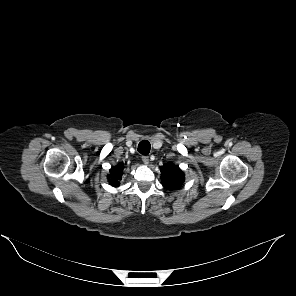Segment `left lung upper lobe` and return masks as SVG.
Listing matches in <instances>:
<instances>
[{"mask_svg":"<svg viewBox=\"0 0 296 296\" xmlns=\"http://www.w3.org/2000/svg\"><path fill=\"white\" fill-rule=\"evenodd\" d=\"M162 185L168 190L180 189L184 182V173L173 163L165 164L160 168Z\"/></svg>","mask_w":296,"mask_h":296,"instance_id":"left-lung-upper-lobe-1","label":"left lung upper lobe"}]
</instances>
